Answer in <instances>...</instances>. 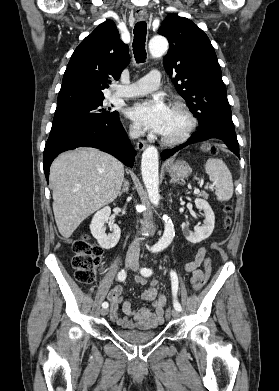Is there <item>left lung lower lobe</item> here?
<instances>
[{"label":"left lung lower lobe","instance_id":"0a47b994","mask_svg":"<svg viewBox=\"0 0 279 391\" xmlns=\"http://www.w3.org/2000/svg\"><path fill=\"white\" fill-rule=\"evenodd\" d=\"M210 138H218L224 141V143L228 146V148L238 157L239 156V144L237 141V137L235 134V129L226 127L224 125L220 124H207L203 126L202 128H199V130L192 134V136L189 138V140L179 145L171 150H164L161 153L162 159H167L169 156L173 155L178 150L182 149L183 147L204 141Z\"/></svg>","mask_w":279,"mask_h":391}]
</instances>
